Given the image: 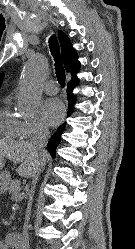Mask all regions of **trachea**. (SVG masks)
I'll use <instances>...</instances> for the list:
<instances>
[{
  "instance_id": "3493384b",
  "label": "trachea",
  "mask_w": 135,
  "mask_h": 249,
  "mask_svg": "<svg viewBox=\"0 0 135 249\" xmlns=\"http://www.w3.org/2000/svg\"><path fill=\"white\" fill-rule=\"evenodd\" d=\"M49 47L55 61L56 76L59 84L65 86V70L61 58L60 46L55 35L49 39Z\"/></svg>"
}]
</instances>
